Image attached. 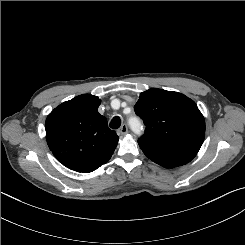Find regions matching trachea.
Masks as SVG:
<instances>
[{"label":"trachea","instance_id":"obj_1","mask_svg":"<svg viewBox=\"0 0 245 245\" xmlns=\"http://www.w3.org/2000/svg\"><path fill=\"white\" fill-rule=\"evenodd\" d=\"M121 125V118L116 116L112 119V121L110 122V127L112 129H118Z\"/></svg>","mask_w":245,"mask_h":245}]
</instances>
